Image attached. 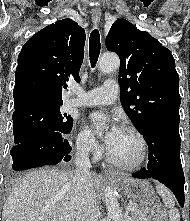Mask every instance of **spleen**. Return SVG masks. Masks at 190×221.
I'll return each mask as SVG.
<instances>
[{
  "label": "spleen",
  "instance_id": "spleen-1",
  "mask_svg": "<svg viewBox=\"0 0 190 221\" xmlns=\"http://www.w3.org/2000/svg\"><path fill=\"white\" fill-rule=\"evenodd\" d=\"M156 191L161 196L165 206L169 208V221H180V214L178 209L175 208V199L173 194L161 184L156 186Z\"/></svg>",
  "mask_w": 190,
  "mask_h": 221
}]
</instances>
